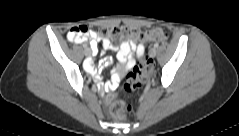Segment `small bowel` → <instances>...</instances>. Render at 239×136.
Instances as JSON below:
<instances>
[{
  "instance_id": "c3829d8e",
  "label": "small bowel",
  "mask_w": 239,
  "mask_h": 136,
  "mask_svg": "<svg viewBox=\"0 0 239 136\" xmlns=\"http://www.w3.org/2000/svg\"><path fill=\"white\" fill-rule=\"evenodd\" d=\"M88 37L91 40L90 45H93L95 52H98L97 44L100 40H102V45H103L104 50L115 51L117 60L122 65H124L125 69H130L134 65V63H135L134 55L135 54H136V56H140L144 51V45L141 44V43L136 44L133 41L126 40V41H123L119 46H115V45H112L109 42L108 39L101 38L100 36H98L97 33L94 32V31H91V33L88 35ZM68 39L70 41H73V42H76V43H81V42L85 41V38L84 39H79V40H72L69 37V33H68ZM111 64H112V59L111 58H105L104 60H102V62L100 64V68L105 69L108 66H110ZM85 67L92 74H94V75L97 74L91 68L90 64L86 63ZM119 79H120V75L118 73H114L112 75L111 79L102 87L103 90L106 93L113 92L119 84ZM111 100H112V96L108 95L106 97V103H110Z\"/></svg>"
}]
</instances>
